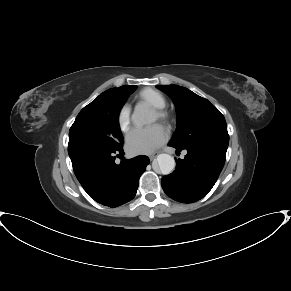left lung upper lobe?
<instances>
[{
  "label": "left lung upper lobe",
  "instance_id": "obj_1",
  "mask_svg": "<svg viewBox=\"0 0 291 291\" xmlns=\"http://www.w3.org/2000/svg\"><path fill=\"white\" fill-rule=\"evenodd\" d=\"M174 102L177 129L169 145L185 148L200 142H229L227 124L210 101L177 85H158Z\"/></svg>",
  "mask_w": 291,
  "mask_h": 291
}]
</instances>
